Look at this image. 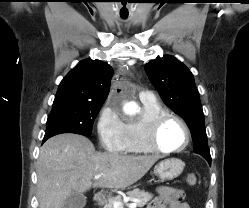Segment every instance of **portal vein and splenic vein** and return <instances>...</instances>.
Masks as SVG:
<instances>
[{"label": "portal vein and splenic vein", "mask_w": 249, "mask_h": 208, "mask_svg": "<svg viewBox=\"0 0 249 208\" xmlns=\"http://www.w3.org/2000/svg\"><path fill=\"white\" fill-rule=\"evenodd\" d=\"M100 177H102V174L96 175V176L94 177V179L97 180V179H99ZM113 207H114V208H123V203H122V202L115 201V202L113 203ZM128 207H129V208H136V207H137V204H136V203H131V204L128 205Z\"/></svg>", "instance_id": "portal-vein-and-splenic-vein-1"}]
</instances>
